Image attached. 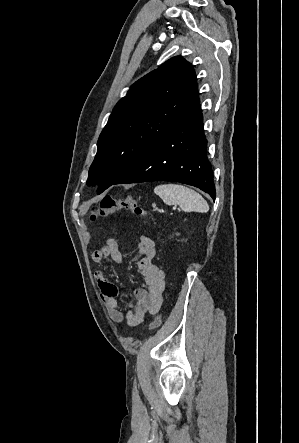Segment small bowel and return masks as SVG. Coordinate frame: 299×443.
<instances>
[{"instance_id":"obj_1","label":"small bowel","mask_w":299,"mask_h":443,"mask_svg":"<svg viewBox=\"0 0 299 443\" xmlns=\"http://www.w3.org/2000/svg\"><path fill=\"white\" fill-rule=\"evenodd\" d=\"M155 255L156 246L154 241L148 237H142L137 245V265L140 274L145 279L146 287L134 291L127 312H123L119 308L117 300L119 295L118 286L109 281L103 271L98 270L94 273L100 296L106 305L110 318L115 323L131 327L138 326L143 322L147 313L156 314L160 310L165 288V275L153 263ZM92 258L98 264L108 259L119 265L124 263L118 242L113 238H107L104 246L93 252Z\"/></svg>"}]
</instances>
